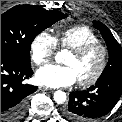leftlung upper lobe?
Segmentation results:
<instances>
[{"mask_svg":"<svg viewBox=\"0 0 122 122\" xmlns=\"http://www.w3.org/2000/svg\"><path fill=\"white\" fill-rule=\"evenodd\" d=\"M93 25L101 32L109 52L108 63L98 80L110 77H122V47L104 24L93 21Z\"/></svg>","mask_w":122,"mask_h":122,"instance_id":"1","label":"left lung upper lobe"}]
</instances>
